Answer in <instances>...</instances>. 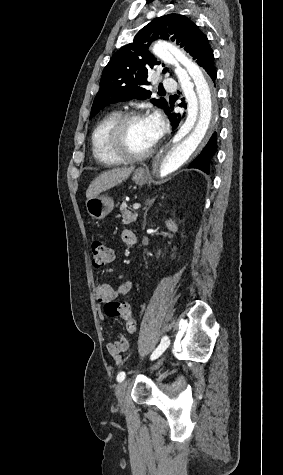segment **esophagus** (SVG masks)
<instances>
[{
    "mask_svg": "<svg viewBox=\"0 0 283 475\" xmlns=\"http://www.w3.org/2000/svg\"><path fill=\"white\" fill-rule=\"evenodd\" d=\"M159 160H160V157L156 156L155 159H154V162H158Z\"/></svg>",
    "mask_w": 283,
    "mask_h": 475,
    "instance_id": "obj_1",
    "label": "esophagus"
}]
</instances>
